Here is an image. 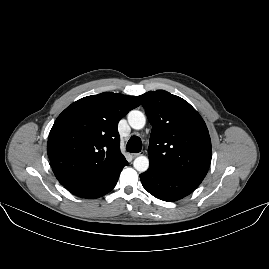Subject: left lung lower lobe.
<instances>
[{
	"instance_id": "1",
	"label": "left lung lower lobe",
	"mask_w": 269,
	"mask_h": 269,
	"mask_svg": "<svg viewBox=\"0 0 269 269\" xmlns=\"http://www.w3.org/2000/svg\"><path fill=\"white\" fill-rule=\"evenodd\" d=\"M143 187L158 199L173 202L192 193L202 180L149 168L140 174Z\"/></svg>"
}]
</instances>
